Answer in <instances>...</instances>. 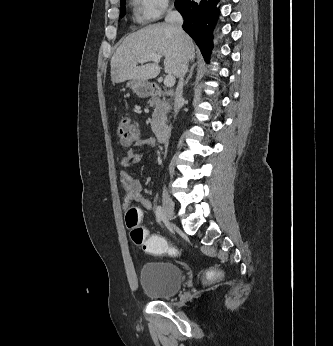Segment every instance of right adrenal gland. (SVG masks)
I'll use <instances>...</instances> for the list:
<instances>
[{
  "instance_id": "obj_1",
  "label": "right adrenal gland",
  "mask_w": 333,
  "mask_h": 346,
  "mask_svg": "<svg viewBox=\"0 0 333 346\" xmlns=\"http://www.w3.org/2000/svg\"><path fill=\"white\" fill-rule=\"evenodd\" d=\"M196 67V64H193L189 70V75L184 83V85H187L188 81L191 79L192 75H193V72H194V69Z\"/></svg>"
}]
</instances>
